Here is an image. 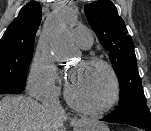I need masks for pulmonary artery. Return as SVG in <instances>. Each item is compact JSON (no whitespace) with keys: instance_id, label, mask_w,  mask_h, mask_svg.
Here are the masks:
<instances>
[{"instance_id":"1","label":"pulmonary artery","mask_w":151,"mask_h":131,"mask_svg":"<svg viewBox=\"0 0 151 131\" xmlns=\"http://www.w3.org/2000/svg\"><path fill=\"white\" fill-rule=\"evenodd\" d=\"M73 39L82 49H89L93 44L92 32L84 27H76L73 30Z\"/></svg>"}]
</instances>
